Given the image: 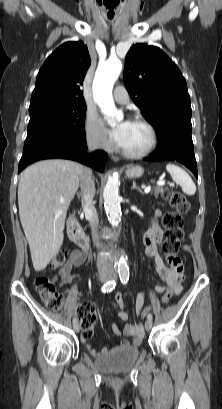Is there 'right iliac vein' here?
I'll use <instances>...</instances> for the list:
<instances>
[{
    "label": "right iliac vein",
    "mask_w": 222,
    "mask_h": 409,
    "mask_svg": "<svg viewBox=\"0 0 222 409\" xmlns=\"http://www.w3.org/2000/svg\"><path fill=\"white\" fill-rule=\"evenodd\" d=\"M108 279L109 277L107 275L105 274L100 275V281L104 282V281H107ZM73 327L76 332L80 330V326L78 323H74Z\"/></svg>",
    "instance_id": "63e3f726"
}]
</instances>
